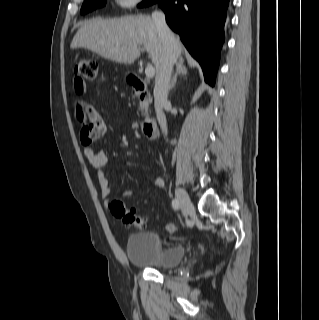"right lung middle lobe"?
<instances>
[{
	"mask_svg": "<svg viewBox=\"0 0 319 320\" xmlns=\"http://www.w3.org/2000/svg\"><path fill=\"white\" fill-rule=\"evenodd\" d=\"M152 2H154V0H144L141 4H139V6H148ZM105 4L106 0H85L81 8V14L91 12L92 10L102 7Z\"/></svg>",
	"mask_w": 319,
	"mask_h": 320,
	"instance_id": "1",
	"label": "right lung middle lobe"
}]
</instances>
